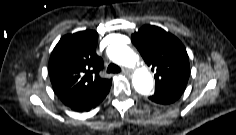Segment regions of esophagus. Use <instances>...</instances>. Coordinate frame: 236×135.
Instances as JSON below:
<instances>
[{
    "instance_id": "obj_1",
    "label": "esophagus",
    "mask_w": 236,
    "mask_h": 135,
    "mask_svg": "<svg viewBox=\"0 0 236 135\" xmlns=\"http://www.w3.org/2000/svg\"><path fill=\"white\" fill-rule=\"evenodd\" d=\"M122 73H123L124 75H130V74H131V72H130L129 69H123V70H122Z\"/></svg>"
}]
</instances>
